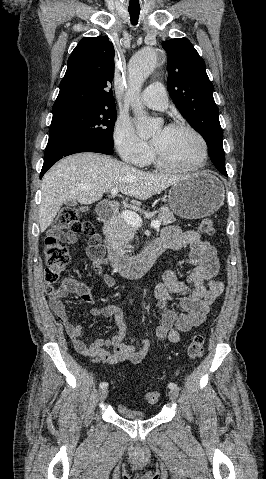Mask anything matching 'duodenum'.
<instances>
[{
	"label": "duodenum",
	"mask_w": 266,
	"mask_h": 479,
	"mask_svg": "<svg viewBox=\"0 0 266 479\" xmlns=\"http://www.w3.org/2000/svg\"><path fill=\"white\" fill-rule=\"evenodd\" d=\"M112 202L100 203L96 207L98 217L105 224H112L114 213ZM166 250L165 245L158 240L148 246L142 253L136 257H126L113 250L105 251V246L91 245L88 248L89 255L94 258H102L115 271L128 278H140L145 275L153 266L157 257Z\"/></svg>",
	"instance_id": "obj_1"
}]
</instances>
